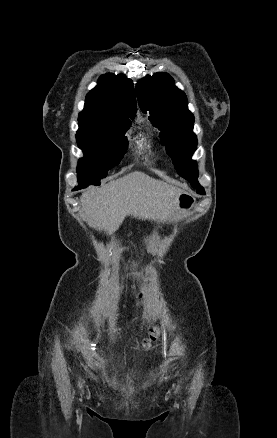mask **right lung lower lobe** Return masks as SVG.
I'll return each instance as SVG.
<instances>
[{
  "label": "right lung lower lobe",
  "mask_w": 277,
  "mask_h": 438,
  "mask_svg": "<svg viewBox=\"0 0 277 438\" xmlns=\"http://www.w3.org/2000/svg\"><path fill=\"white\" fill-rule=\"evenodd\" d=\"M78 189H79V188L76 187L74 190H78Z\"/></svg>",
  "instance_id": "98d812e1"
}]
</instances>
